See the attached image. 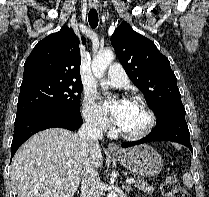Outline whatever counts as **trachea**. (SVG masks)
Segmentation results:
<instances>
[{
  "label": "trachea",
  "instance_id": "obj_1",
  "mask_svg": "<svg viewBox=\"0 0 209 197\" xmlns=\"http://www.w3.org/2000/svg\"><path fill=\"white\" fill-rule=\"evenodd\" d=\"M88 22L92 28L98 26V13L96 9H91L88 14Z\"/></svg>",
  "mask_w": 209,
  "mask_h": 197
}]
</instances>
